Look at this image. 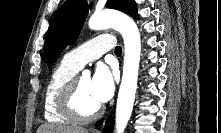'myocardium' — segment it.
Returning a JSON list of instances; mask_svg holds the SVG:
<instances>
[{
    "label": "myocardium",
    "mask_w": 221,
    "mask_h": 133,
    "mask_svg": "<svg viewBox=\"0 0 221 133\" xmlns=\"http://www.w3.org/2000/svg\"><path fill=\"white\" fill-rule=\"evenodd\" d=\"M81 76H74L64 84L57 95V107L62 115L76 123H88L99 118L103 107H99L89 115H83L77 107V91Z\"/></svg>",
    "instance_id": "myocardium-1"
}]
</instances>
